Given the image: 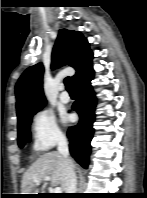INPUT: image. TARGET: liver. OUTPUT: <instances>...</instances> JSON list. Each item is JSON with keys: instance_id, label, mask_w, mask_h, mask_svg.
<instances>
[{"instance_id": "obj_1", "label": "liver", "mask_w": 147, "mask_h": 198, "mask_svg": "<svg viewBox=\"0 0 147 198\" xmlns=\"http://www.w3.org/2000/svg\"><path fill=\"white\" fill-rule=\"evenodd\" d=\"M45 177L51 178V186L60 185L65 190L66 167L59 152L44 153L29 167L22 177L21 194H38L39 190L33 188Z\"/></svg>"}]
</instances>
